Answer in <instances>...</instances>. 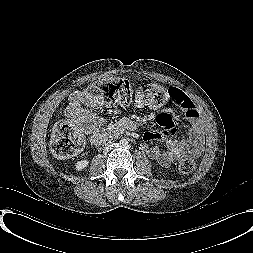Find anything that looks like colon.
Returning <instances> with one entry per match:
<instances>
[{"label":"colon","mask_w":253,"mask_h":253,"mask_svg":"<svg viewBox=\"0 0 253 253\" xmlns=\"http://www.w3.org/2000/svg\"><path fill=\"white\" fill-rule=\"evenodd\" d=\"M175 92L161 86L146 89H134L124 79H105L92 84L82 93V100L90 105L127 106L135 104L156 108L170 101L174 102ZM84 139L80 131L70 122H61L51 136V150L58 158H69L81 151ZM196 162L191 157L179 160L178 168L183 174L194 171Z\"/></svg>","instance_id":"5ec220e1"}]
</instances>
